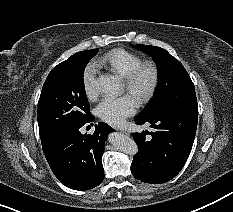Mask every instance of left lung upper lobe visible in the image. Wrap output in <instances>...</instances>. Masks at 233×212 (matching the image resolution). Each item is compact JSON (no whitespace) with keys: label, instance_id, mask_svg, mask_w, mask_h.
<instances>
[{"label":"left lung upper lobe","instance_id":"5c2ea615","mask_svg":"<svg viewBox=\"0 0 233 212\" xmlns=\"http://www.w3.org/2000/svg\"><path fill=\"white\" fill-rule=\"evenodd\" d=\"M132 46L151 55L159 71L154 97L140 114L141 116L167 107L198 110L194 84L183 65L175 57L160 47L142 44Z\"/></svg>","mask_w":233,"mask_h":212}]
</instances>
